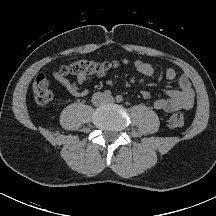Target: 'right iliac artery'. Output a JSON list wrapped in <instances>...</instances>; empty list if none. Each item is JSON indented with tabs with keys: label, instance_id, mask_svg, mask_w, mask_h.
Listing matches in <instances>:
<instances>
[{
	"label": "right iliac artery",
	"instance_id": "obj_1",
	"mask_svg": "<svg viewBox=\"0 0 216 216\" xmlns=\"http://www.w3.org/2000/svg\"><path fill=\"white\" fill-rule=\"evenodd\" d=\"M104 96H105L106 98H110V97H111V91L105 90V91H104Z\"/></svg>",
	"mask_w": 216,
	"mask_h": 216
}]
</instances>
